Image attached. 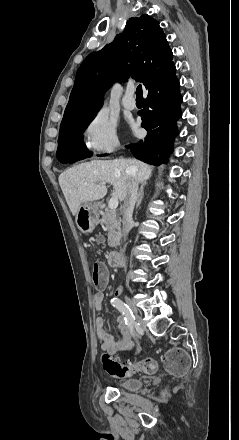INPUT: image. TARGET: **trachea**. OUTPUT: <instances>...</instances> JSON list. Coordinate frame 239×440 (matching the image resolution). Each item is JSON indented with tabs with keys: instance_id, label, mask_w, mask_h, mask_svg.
Segmentation results:
<instances>
[{
	"instance_id": "1",
	"label": "trachea",
	"mask_w": 239,
	"mask_h": 440,
	"mask_svg": "<svg viewBox=\"0 0 239 440\" xmlns=\"http://www.w3.org/2000/svg\"><path fill=\"white\" fill-rule=\"evenodd\" d=\"M141 98H143L142 86L138 85V87L136 88V99H141Z\"/></svg>"
}]
</instances>
